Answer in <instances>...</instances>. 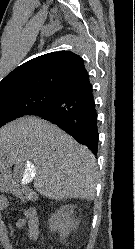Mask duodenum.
<instances>
[{"label":"duodenum","instance_id":"duodenum-1","mask_svg":"<svg viewBox=\"0 0 135 249\" xmlns=\"http://www.w3.org/2000/svg\"><path fill=\"white\" fill-rule=\"evenodd\" d=\"M21 196L23 198L29 199V200H35V198H36L35 194L27 189L21 190Z\"/></svg>","mask_w":135,"mask_h":249}]
</instances>
